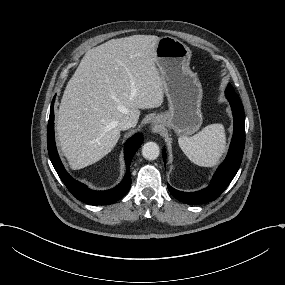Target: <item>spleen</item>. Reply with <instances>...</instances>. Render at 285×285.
<instances>
[{
    "mask_svg": "<svg viewBox=\"0 0 285 285\" xmlns=\"http://www.w3.org/2000/svg\"><path fill=\"white\" fill-rule=\"evenodd\" d=\"M178 143L194 164L213 167L226 151V136L222 124H211L192 137L181 136Z\"/></svg>",
    "mask_w": 285,
    "mask_h": 285,
    "instance_id": "spleen-1",
    "label": "spleen"
}]
</instances>
